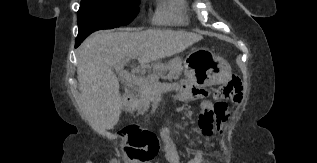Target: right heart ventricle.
I'll return each mask as SVG.
<instances>
[{
	"mask_svg": "<svg viewBox=\"0 0 317 163\" xmlns=\"http://www.w3.org/2000/svg\"><path fill=\"white\" fill-rule=\"evenodd\" d=\"M153 22L157 25L185 24L186 0H157Z\"/></svg>",
	"mask_w": 317,
	"mask_h": 163,
	"instance_id": "e07e8e85",
	"label": "right heart ventricle"
}]
</instances>
